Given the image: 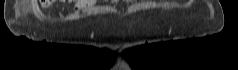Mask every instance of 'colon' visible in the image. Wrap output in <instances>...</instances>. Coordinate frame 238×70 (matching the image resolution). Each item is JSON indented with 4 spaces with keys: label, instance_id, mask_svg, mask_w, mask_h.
I'll list each match as a JSON object with an SVG mask.
<instances>
[{
    "label": "colon",
    "instance_id": "1",
    "mask_svg": "<svg viewBox=\"0 0 238 70\" xmlns=\"http://www.w3.org/2000/svg\"><path fill=\"white\" fill-rule=\"evenodd\" d=\"M62 2H70L71 0H61ZM51 0H41V3L44 7H48L52 4Z\"/></svg>",
    "mask_w": 238,
    "mask_h": 70
}]
</instances>
